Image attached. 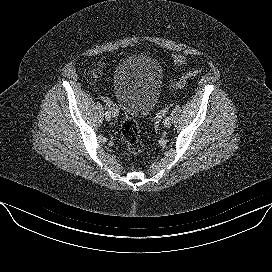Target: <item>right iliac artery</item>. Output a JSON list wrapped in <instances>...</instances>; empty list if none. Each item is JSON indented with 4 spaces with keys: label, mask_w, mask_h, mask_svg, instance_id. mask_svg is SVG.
<instances>
[{
    "label": "right iliac artery",
    "mask_w": 272,
    "mask_h": 272,
    "mask_svg": "<svg viewBox=\"0 0 272 272\" xmlns=\"http://www.w3.org/2000/svg\"><path fill=\"white\" fill-rule=\"evenodd\" d=\"M103 114L107 115L108 114V109H103Z\"/></svg>",
    "instance_id": "1"
}]
</instances>
